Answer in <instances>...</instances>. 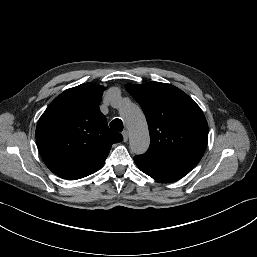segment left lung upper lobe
I'll list each match as a JSON object with an SVG mask.
<instances>
[{
	"label": "left lung upper lobe",
	"instance_id": "left-lung-upper-lobe-1",
	"mask_svg": "<svg viewBox=\"0 0 257 257\" xmlns=\"http://www.w3.org/2000/svg\"><path fill=\"white\" fill-rule=\"evenodd\" d=\"M126 89L142 107L151 139L147 152L135 158L161 166H195L207 147L208 124L192 98L160 82L128 84Z\"/></svg>",
	"mask_w": 257,
	"mask_h": 257
}]
</instances>
